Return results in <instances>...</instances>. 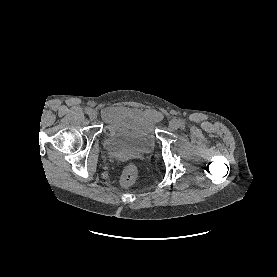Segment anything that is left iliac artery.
<instances>
[{
	"mask_svg": "<svg viewBox=\"0 0 277 277\" xmlns=\"http://www.w3.org/2000/svg\"><path fill=\"white\" fill-rule=\"evenodd\" d=\"M180 124H181L182 127H184L185 126V121L184 120H180Z\"/></svg>",
	"mask_w": 277,
	"mask_h": 277,
	"instance_id": "obj_1",
	"label": "left iliac artery"
}]
</instances>
